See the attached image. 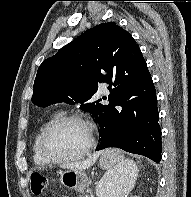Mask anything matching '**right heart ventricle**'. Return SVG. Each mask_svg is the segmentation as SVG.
Instances as JSON below:
<instances>
[{"label":"right heart ventricle","mask_w":191,"mask_h":197,"mask_svg":"<svg viewBox=\"0 0 191 197\" xmlns=\"http://www.w3.org/2000/svg\"><path fill=\"white\" fill-rule=\"evenodd\" d=\"M55 117V115H50L39 127L36 136L34 138L33 144H32V154H33V161L34 164L37 166H47L49 165L51 162L48 161L47 159H45L41 152H40V148H39V139H40V135L43 131V129L45 128V126Z\"/></svg>","instance_id":"right-heart-ventricle-1"}]
</instances>
